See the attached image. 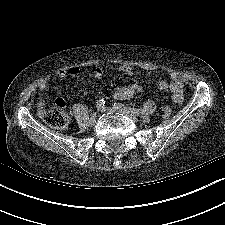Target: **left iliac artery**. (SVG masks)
<instances>
[{
	"instance_id": "obj_1",
	"label": "left iliac artery",
	"mask_w": 225,
	"mask_h": 225,
	"mask_svg": "<svg viewBox=\"0 0 225 225\" xmlns=\"http://www.w3.org/2000/svg\"><path fill=\"white\" fill-rule=\"evenodd\" d=\"M114 106H116V107L122 106V107L128 109L131 113L136 114V115H139L141 113V110L140 109L131 108V107H128V106L119 104V103H114Z\"/></svg>"
}]
</instances>
